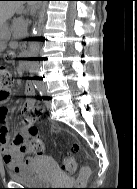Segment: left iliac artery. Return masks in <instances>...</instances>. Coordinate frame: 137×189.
Instances as JSON below:
<instances>
[{
    "label": "left iliac artery",
    "mask_w": 137,
    "mask_h": 189,
    "mask_svg": "<svg viewBox=\"0 0 137 189\" xmlns=\"http://www.w3.org/2000/svg\"><path fill=\"white\" fill-rule=\"evenodd\" d=\"M39 93H40L41 96H45V95H46V92H45L44 89H40V90H39Z\"/></svg>",
    "instance_id": "1"
}]
</instances>
